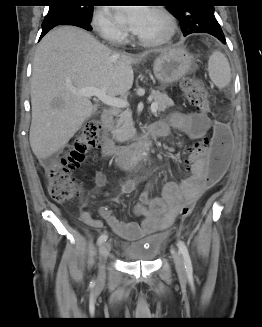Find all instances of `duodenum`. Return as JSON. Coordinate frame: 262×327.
<instances>
[{
	"label": "duodenum",
	"instance_id": "1",
	"mask_svg": "<svg viewBox=\"0 0 262 327\" xmlns=\"http://www.w3.org/2000/svg\"><path fill=\"white\" fill-rule=\"evenodd\" d=\"M102 124L109 137L101 148V154L105 159L117 158V162L121 166L134 167L147 152L151 144L158 135V125L155 124L148 129L147 134L140 136L137 140L131 142L127 146H119L113 140V112L109 109L101 113Z\"/></svg>",
	"mask_w": 262,
	"mask_h": 327
}]
</instances>
